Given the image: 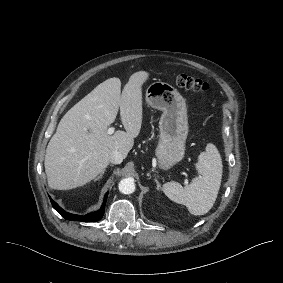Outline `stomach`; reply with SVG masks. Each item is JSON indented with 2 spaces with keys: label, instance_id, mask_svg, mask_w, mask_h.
Here are the masks:
<instances>
[{
  "label": "stomach",
  "instance_id": "stomach-1",
  "mask_svg": "<svg viewBox=\"0 0 283 283\" xmlns=\"http://www.w3.org/2000/svg\"><path fill=\"white\" fill-rule=\"evenodd\" d=\"M145 102L163 111L157 156L165 167L179 162L183 158L188 133L185 99L170 84L156 81L146 88Z\"/></svg>",
  "mask_w": 283,
  "mask_h": 283
}]
</instances>
